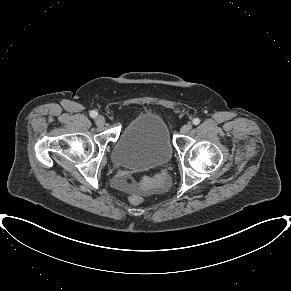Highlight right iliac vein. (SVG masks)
Here are the masks:
<instances>
[{
    "label": "right iliac vein",
    "mask_w": 291,
    "mask_h": 291,
    "mask_svg": "<svg viewBox=\"0 0 291 291\" xmlns=\"http://www.w3.org/2000/svg\"><path fill=\"white\" fill-rule=\"evenodd\" d=\"M95 122L98 126H103L105 124V118L102 115L96 117Z\"/></svg>",
    "instance_id": "obj_1"
}]
</instances>
